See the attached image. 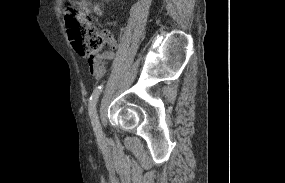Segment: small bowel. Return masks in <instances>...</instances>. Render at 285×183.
Masks as SVG:
<instances>
[{
	"instance_id": "small-bowel-1",
	"label": "small bowel",
	"mask_w": 285,
	"mask_h": 183,
	"mask_svg": "<svg viewBox=\"0 0 285 183\" xmlns=\"http://www.w3.org/2000/svg\"><path fill=\"white\" fill-rule=\"evenodd\" d=\"M81 10L86 15H103V7L100 1L81 0ZM115 53L111 50L105 51L96 60L89 61L90 74L95 79H101L106 73V65L114 60Z\"/></svg>"
}]
</instances>
